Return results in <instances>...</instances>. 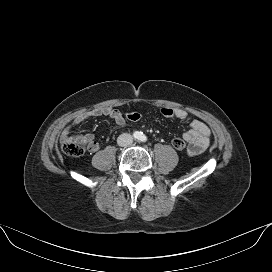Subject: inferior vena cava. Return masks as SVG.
<instances>
[{
  "label": "inferior vena cava",
  "instance_id": "1",
  "mask_svg": "<svg viewBox=\"0 0 272 272\" xmlns=\"http://www.w3.org/2000/svg\"><path fill=\"white\" fill-rule=\"evenodd\" d=\"M132 142H133V137L128 133H123L119 135V137L117 138V144L122 147L129 146L132 144Z\"/></svg>",
  "mask_w": 272,
  "mask_h": 272
}]
</instances>
